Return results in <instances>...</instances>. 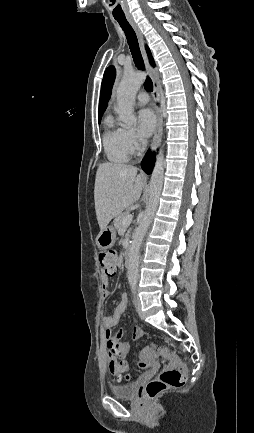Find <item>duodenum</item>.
<instances>
[{
	"instance_id": "obj_1",
	"label": "duodenum",
	"mask_w": 254,
	"mask_h": 433,
	"mask_svg": "<svg viewBox=\"0 0 254 433\" xmlns=\"http://www.w3.org/2000/svg\"><path fill=\"white\" fill-rule=\"evenodd\" d=\"M130 255H131V245L129 243H127L125 246V266L126 267H129L131 264Z\"/></svg>"
}]
</instances>
